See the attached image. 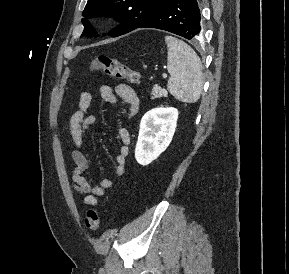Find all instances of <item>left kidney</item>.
<instances>
[{
	"label": "left kidney",
	"instance_id": "left-kidney-1",
	"mask_svg": "<svg viewBox=\"0 0 289 274\" xmlns=\"http://www.w3.org/2000/svg\"><path fill=\"white\" fill-rule=\"evenodd\" d=\"M178 110L173 107L155 108L141 119L135 159L148 165L169 146L175 133Z\"/></svg>",
	"mask_w": 289,
	"mask_h": 274
}]
</instances>
